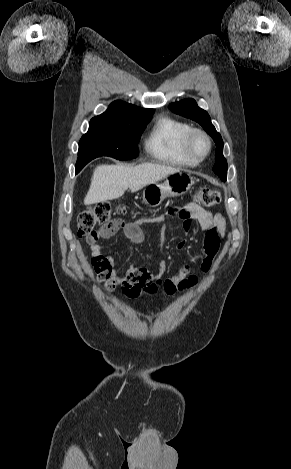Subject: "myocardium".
Here are the masks:
<instances>
[{
    "instance_id": "myocardium-1",
    "label": "myocardium",
    "mask_w": 291,
    "mask_h": 469,
    "mask_svg": "<svg viewBox=\"0 0 291 469\" xmlns=\"http://www.w3.org/2000/svg\"><path fill=\"white\" fill-rule=\"evenodd\" d=\"M198 136L202 137L206 141V144H207V149L205 153L203 154H198L194 150V140ZM183 149L185 153L187 154V156H189L191 159L197 162H200L204 160L210 154L212 150V142H211L209 135L205 131L198 129V128H192L185 135L183 139Z\"/></svg>"
}]
</instances>
